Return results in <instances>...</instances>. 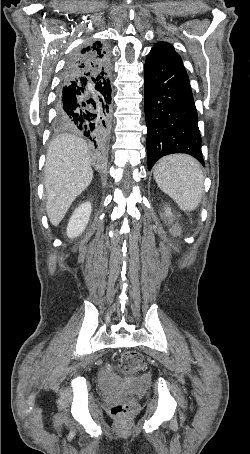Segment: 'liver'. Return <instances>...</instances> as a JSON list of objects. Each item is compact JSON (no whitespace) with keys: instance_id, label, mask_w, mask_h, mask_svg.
I'll use <instances>...</instances> for the list:
<instances>
[{"instance_id":"liver-1","label":"liver","mask_w":250,"mask_h":454,"mask_svg":"<svg viewBox=\"0 0 250 454\" xmlns=\"http://www.w3.org/2000/svg\"><path fill=\"white\" fill-rule=\"evenodd\" d=\"M93 170L86 142L71 134H61L50 143L44 167L46 210L57 226L72 202L91 183Z\"/></svg>"}]
</instances>
